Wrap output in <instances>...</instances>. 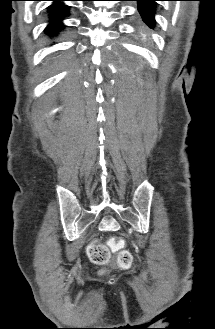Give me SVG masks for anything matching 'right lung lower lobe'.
I'll use <instances>...</instances> for the list:
<instances>
[{
	"mask_svg": "<svg viewBox=\"0 0 215 329\" xmlns=\"http://www.w3.org/2000/svg\"><path fill=\"white\" fill-rule=\"evenodd\" d=\"M54 4L47 8L49 24L45 28L44 32L50 37L57 36L60 31L64 29L63 20L69 16L70 6L63 4L68 0H50Z\"/></svg>",
	"mask_w": 215,
	"mask_h": 329,
	"instance_id": "1",
	"label": "right lung lower lobe"
}]
</instances>
